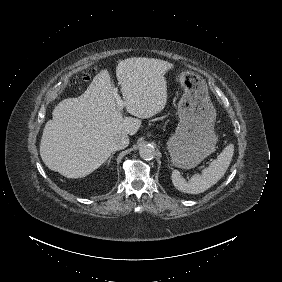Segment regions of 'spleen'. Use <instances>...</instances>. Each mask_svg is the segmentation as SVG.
Wrapping results in <instances>:
<instances>
[{"mask_svg":"<svg viewBox=\"0 0 282 282\" xmlns=\"http://www.w3.org/2000/svg\"><path fill=\"white\" fill-rule=\"evenodd\" d=\"M234 154V144L229 143L222 152L212 161L209 167L203 170L202 176H194L191 181L181 176L179 170L172 172L174 186L184 193L199 194L216 184L226 173Z\"/></svg>","mask_w":282,"mask_h":282,"instance_id":"1","label":"spleen"}]
</instances>
